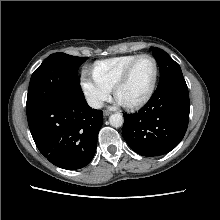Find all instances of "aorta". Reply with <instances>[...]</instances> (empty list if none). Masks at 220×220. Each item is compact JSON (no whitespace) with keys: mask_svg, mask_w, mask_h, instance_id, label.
I'll return each mask as SVG.
<instances>
[{"mask_svg":"<svg viewBox=\"0 0 220 220\" xmlns=\"http://www.w3.org/2000/svg\"><path fill=\"white\" fill-rule=\"evenodd\" d=\"M123 121H124L123 116L119 113L112 114L109 117L110 125L115 127V128L121 127L123 125Z\"/></svg>","mask_w":220,"mask_h":220,"instance_id":"762f6f07","label":"aorta"}]
</instances>
